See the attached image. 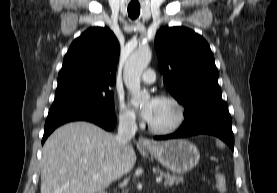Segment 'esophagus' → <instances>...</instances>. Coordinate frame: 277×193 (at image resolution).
I'll return each instance as SVG.
<instances>
[{
  "label": "esophagus",
  "instance_id": "34e87169",
  "mask_svg": "<svg viewBox=\"0 0 277 193\" xmlns=\"http://www.w3.org/2000/svg\"><path fill=\"white\" fill-rule=\"evenodd\" d=\"M139 144L144 146V147H150L153 146V142L151 140H149L146 137L140 136L139 140H138Z\"/></svg>",
  "mask_w": 277,
  "mask_h": 193
}]
</instances>
